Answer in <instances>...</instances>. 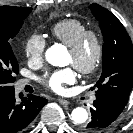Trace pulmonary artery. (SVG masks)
Here are the masks:
<instances>
[{
	"label": "pulmonary artery",
	"mask_w": 133,
	"mask_h": 133,
	"mask_svg": "<svg viewBox=\"0 0 133 133\" xmlns=\"http://www.w3.org/2000/svg\"><path fill=\"white\" fill-rule=\"evenodd\" d=\"M27 83H28L27 80H19L16 83V89H17V91H21Z\"/></svg>",
	"instance_id": "e3ab8cb5"
}]
</instances>
